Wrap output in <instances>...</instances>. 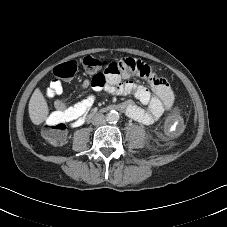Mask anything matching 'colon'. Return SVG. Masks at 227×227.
<instances>
[{
	"instance_id": "colon-1",
	"label": "colon",
	"mask_w": 227,
	"mask_h": 227,
	"mask_svg": "<svg viewBox=\"0 0 227 227\" xmlns=\"http://www.w3.org/2000/svg\"><path fill=\"white\" fill-rule=\"evenodd\" d=\"M84 67L92 74V80L95 85H101L105 82V73L112 76H119L124 72L139 70L141 73L150 71V68L138 62L131 60H107L95 57L93 55H86L82 59ZM79 61L71 59L63 64L56 66L53 70L52 84L55 88L62 86L64 78L73 77L78 70ZM61 119L46 125L43 132L44 137L50 142H60L65 139V128L67 114H61Z\"/></svg>"
}]
</instances>
